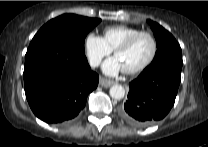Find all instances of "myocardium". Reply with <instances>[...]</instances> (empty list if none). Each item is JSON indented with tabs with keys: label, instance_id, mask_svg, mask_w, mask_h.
<instances>
[{
	"label": "myocardium",
	"instance_id": "myocardium-1",
	"mask_svg": "<svg viewBox=\"0 0 208 147\" xmlns=\"http://www.w3.org/2000/svg\"><path fill=\"white\" fill-rule=\"evenodd\" d=\"M141 36H148L151 39L152 45H153L152 53L149 56V58L145 62H143L141 65H139L135 68H132V69H123V72L125 74L134 75V74L142 72L143 70L148 68L153 63V61L155 60V58L157 56V53H158L157 40H156L155 36L151 32H148V31H140V32H137L136 34L130 36L128 39H126L124 42H122L119 46H117L114 49V54L116 55L117 53H119L121 51H125V50L129 49L132 46V44Z\"/></svg>",
	"mask_w": 208,
	"mask_h": 147
}]
</instances>
